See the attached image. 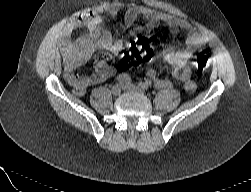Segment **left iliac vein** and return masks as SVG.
Listing matches in <instances>:
<instances>
[{"instance_id": "1", "label": "left iliac vein", "mask_w": 251, "mask_h": 192, "mask_svg": "<svg viewBox=\"0 0 251 192\" xmlns=\"http://www.w3.org/2000/svg\"><path fill=\"white\" fill-rule=\"evenodd\" d=\"M123 90L129 91V92H140L143 93V89H141L139 86L132 84V83H125L122 85Z\"/></svg>"}]
</instances>
